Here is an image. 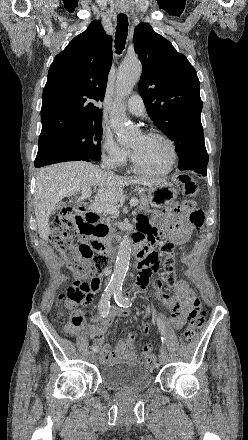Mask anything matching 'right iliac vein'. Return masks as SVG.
<instances>
[{
    "mask_svg": "<svg viewBox=\"0 0 248 440\" xmlns=\"http://www.w3.org/2000/svg\"><path fill=\"white\" fill-rule=\"evenodd\" d=\"M90 357L92 361H95L97 358L96 352H93Z\"/></svg>",
    "mask_w": 248,
    "mask_h": 440,
    "instance_id": "63e3f726",
    "label": "right iliac vein"
}]
</instances>
